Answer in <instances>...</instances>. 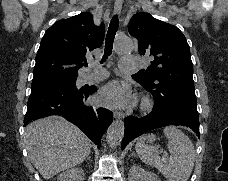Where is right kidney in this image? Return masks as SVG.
Returning <instances> with one entry per match:
<instances>
[{
	"label": "right kidney",
	"instance_id": "ca27d5eb",
	"mask_svg": "<svg viewBox=\"0 0 228 181\" xmlns=\"http://www.w3.org/2000/svg\"><path fill=\"white\" fill-rule=\"evenodd\" d=\"M85 173L79 167H74V169H68L65 173H61L57 177V181H84Z\"/></svg>",
	"mask_w": 228,
	"mask_h": 181
}]
</instances>
